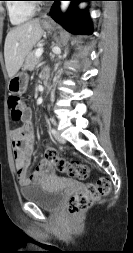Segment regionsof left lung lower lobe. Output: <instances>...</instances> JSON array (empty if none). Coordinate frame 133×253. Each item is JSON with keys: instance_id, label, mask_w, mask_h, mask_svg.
<instances>
[{"instance_id": "left-lung-lower-lobe-1", "label": "left lung lower lobe", "mask_w": 133, "mask_h": 253, "mask_svg": "<svg viewBox=\"0 0 133 253\" xmlns=\"http://www.w3.org/2000/svg\"><path fill=\"white\" fill-rule=\"evenodd\" d=\"M55 1L51 10H50V16L57 22L61 23L62 26L70 31V32H75L79 34H91L92 33V27L90 23H86L83 26H80L79 28H76L77 26V21L79 19L88 21V16L86 11H79L76 8L75 4H72L71 7L69 8L67 14L65 17H61L60 10H59V1L61 0H53ZM72 1L73 3H77L80 1H95V0H69Z\"/></svg>"}]
</instances>
